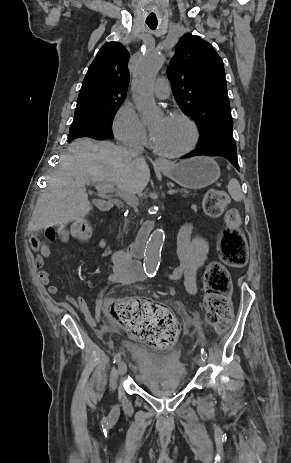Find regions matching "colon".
<instances>
[{
  "label": "colon",
  "mask_w": 291,
  "mask_h": 463,
  "mask_svg": "<svg viewBox=\"0 0 291 463\" xmlns=\"http://www.w3.org/2000/svg\"><path fill=\"white\" fill-rule=\"evenodd\" d=\"M229 196L220 190H211L204 199V209L210 215H218L228 207ZM226 227L219 239V255L222 261L233 267H241L247 261L245 237L240 231L241 218L236 210H229L225 218ZM45 237L55 241L67 234L63 230L48 227ZM79 241L87 240L91 235L89 225L83 220L72 224L69 234ZM205 310L208 322L218 329L225 328L233 316L230 301L231 284L228 272L219 264H212L205 274ZM109 318L119 324L131 336L155 347L165 349L171 346L177 337L178 324L173 315L159 305L142 298L127 301L108 302Z\"/></svg>",
  "instance_id": "1"
}]
</instances>
